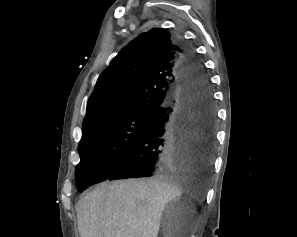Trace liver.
Masks as SVG:
<instances>
[{
    "instance_id": "6515ba94",
    "label": "liver",
    "mask_w": 297,
    "mask_h": 237,
    "mask_svg": "<svg viewBox=\"0 0 297 237\" xmlns=\"http://www.w3.org/2000/svg\"><path fill=\"white\" fill-rule=\"evenodd\" d=\"M195 191L188 176L102 183L76 207L80 237H157L165 206Z\"/></svg>"
}]
</instances>
